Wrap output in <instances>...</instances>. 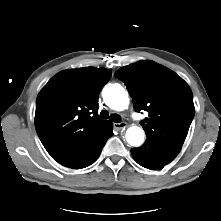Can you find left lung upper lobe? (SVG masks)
<instances>
[{"instance_id":"1","label":"left lung upper lobe","mask_w":221,"mask_h":221,"mask_svg":"<svg viewBox=\"0 0 221 221\" xmlns=\"http://www.w3.org/2000/svg\"><path fill=\"white\" fill-rule=\"evenodd\" d=\"M132 97L135 111L149 113L141 125L147 141L179 153L195 114L188 84L153 61H139L115 72Z\"/></svg>"}]
</instances>
